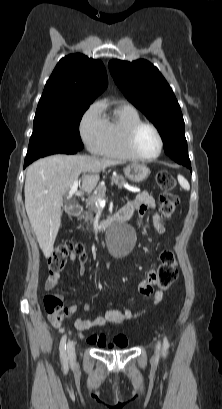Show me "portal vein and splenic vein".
Here are the masks:
<instances>
[{"label":"portal vein and splenic vein","mask_w":222,"mask_h":409,"mask_svg":"<svg viewBox=\"0 0 222 409\" xmlns=\"http://www.w3.org/2000/svg\"><path fill=\"white\" fill-rule=\"evenodd\" d=\"M78 184H79L78 180H75L73 182V185H72V187L70 188V190L68 192L69 196H72L74 193L77 192ZM95 204L97 206H104L105 205V200L101 199V198H98V199L95 200Z\"/></svg>","instance_id":"18ae733b"}]
</instances>
